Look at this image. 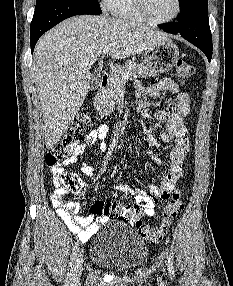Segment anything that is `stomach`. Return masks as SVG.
I'll use <instances>...</instances> for the list:
<instances>
[{
    "label": "stomach",
    "mask_w": 233,
    "mask_h": 286,
    "mask_svg": "<svg viewBox=\"0 0 233 286\" xmlns=\"http://www.w3.org/2000/svg\"><path fill=\"white\" fill-rule=\"evenodd\" d=\"M178 60V47L169 38L157 43L144 54L145 65L155 73L168 72Z\"/></svg>",
    "instance_id": "obj_1"
}]
</instances>
